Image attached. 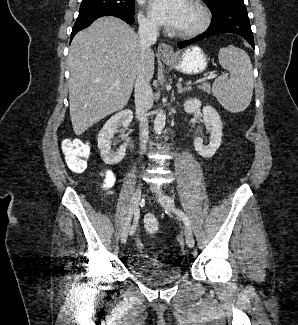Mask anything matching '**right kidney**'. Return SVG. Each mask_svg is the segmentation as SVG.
I'll return each mask as SVG.
<instances>
[{"label":"right kidney","instance_id":"1","mask_svg":"<svg viewBox=\"0 0 298 325\" xmlns=\"http://www.w3.org/2000/svg\"><path fill=\"white\" fill-rule=\"evenodd\" d=\"M132 118L133 110H130V108H125V110H119V112L113 114V116H111V118H109V120L103 124V128H101L97 140L102 160H104L106 165H117V163H120L123 156H125L129 136H127V134H123V136H126V142H123V144L117 148L116 152L111 150L110 140L113 138L115 132H118V128H120V126H122L121 132L128 130V126H130Z\"/></svg>","mask_w":298,"mask_h":325}]
</instances>
